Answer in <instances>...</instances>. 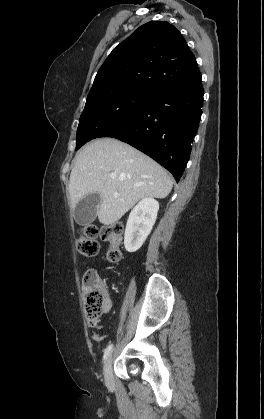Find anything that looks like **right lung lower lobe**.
Here are the masks:
<instances>
[{
  "instance_id": "1",
  "label": "right lung lower lobe",
  "mask_w": 264,
  "mask_h": 419,
  "mask_svg": "<svg viewBox=\"0 0 264 419\" xmlns=\"http://www.w3.org/2000/svg\"><path fill=\"white\" fill-rule=\"evenodd\" d=\"M202 79L154 92L127 119L100 137H113L147 154L178 182L189 160L203 105Z\"/></svg>"
}]
</instances>
